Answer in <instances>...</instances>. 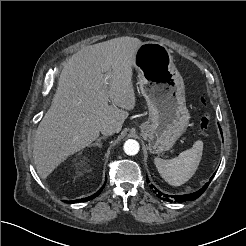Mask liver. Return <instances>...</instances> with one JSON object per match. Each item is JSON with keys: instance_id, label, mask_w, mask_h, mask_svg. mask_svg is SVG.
Returning a JSON list of instances; mask_svg holds the SVG:
<instances>
[{"instance_id": "liver-1", "label": "liver", "mask_w": 246, "mask_h": 246, "mask_svg": "<svg viewBox=\"0 0 246 246\" xmlns=\"http://www.w3.org/2000/svg\"><path fill=\"white\" fill-rule=\"evenodd\" d=\"M141 44L134 37L114 38L86 46L68 60L34 136L40 178L46 179L68 156L95 141L104 124L121 131L136 103L132 75Z\"/></svg>"}]
</instances>
